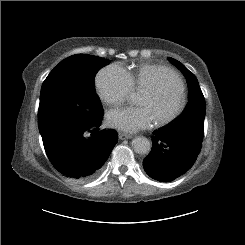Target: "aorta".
<instances>
[{
	"instance_id": "762f6f07",
	"label": "aorta",
	"mask_w": 245,
	"mask_h": 245,
	"mask_svg": "<svg viewBox=\"0 0 245 245\" xmlns=\"http://www.w3.org/2000/svg\"><path fill=\"white\" fill-rule=\"evenodd\" d=\"M130 101L132 103H137L138 101L137 95L134 93L131 94ZM132 146L136 153L142 154V155L149 153L151 150V143L144 136H138L135 139H133Z\"/></svg>"
}]
</instances>
